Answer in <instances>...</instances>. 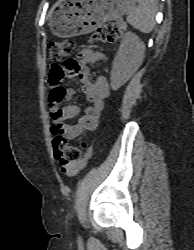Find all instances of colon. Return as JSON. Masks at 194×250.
Here are the masks:
<instances>
[{"mask_svg": "<svg viewBox=\"0 0 194 250\" xmlns=\"http://www.w3.org/2000/svg\"><path fill=\"white\" fill-rule=\"evenodd\" d=\"M121 36L122 31L114 23H104L95 29L92 39L98 42L116 43ZM73 49L74 43L71 40L55 41L49 45V55L53 60H61L66 58ZM62 79V74L50 72L49 81L53 85L50 101L56 104H60L65 97V88L61 85ZM53 148L61 170L68 168L80 159L82 147L70 145L67 139L59 133H55Z\"/></svg>", "mask_w": 194, "mask_h": 250, "instance_id": "1", "label": "colon"}]
</instances>
